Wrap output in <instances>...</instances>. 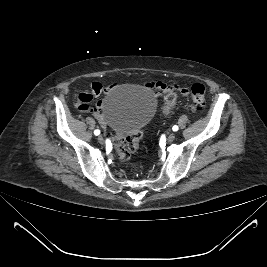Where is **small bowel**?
Returning <instances> with one entry per match:
<instances>
[{
	"label": "small bowel",
	"mask_w": 267,
	"mask_h": 267,
	"mask_svg": "<svg viewBox=\"0 0 267 267\" xmlns=\"http://www.w3.org/2000/svg\"><path fill=\"white\" fill-rule=\"evenodd\" d=\"M145 86L149 89L155 90V92L153 93L154 97H159L161 93H166L177 88L176 86L168 85L162 81L150 82V83H147ZM109 90L110 88L105 87L102 83L94 82L91 85L90 91L83 92L78 95L77 102H76L78 109L81 111L93 113L94 116L101 122L103 120L102 113H101L103 102L102 101L98 102V104L95 107L91 105V102L95 98L99 97L102 93L107 92ZM179 90L182 94H187L188 92L184 88H181Z\"/></svg>",
	"instance_id": "small-bowel-1"
}]
</instances>
